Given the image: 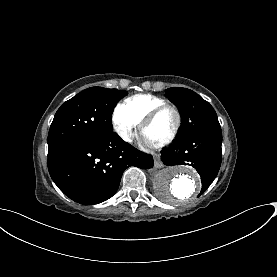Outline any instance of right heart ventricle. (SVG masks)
<instances>
[{"mask_svg": "<svg viewBox=\"0 0 277 277\" xmlns=\"http://www.w3.org/2000/svg\"><path fill=\"white\" fill-rule=\"evenodd\" d=\"M167 102V100L153 95L136 94L126 99L119 107V110L132 116L138 123H140L144 120L150 110Z\"/></svg>", "mask_w": 277, "mask_h": 277, "instance_id": "e07e8e85", "label": "right heart ventricle"}]
</instances>
